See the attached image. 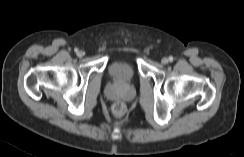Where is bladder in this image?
Wrapping results in <instances>:
<instances>
[{"mask_svg": "<svg viewBox=\"0 0 244 157\" xmlns=\"http://www.w3.org/2000/svg\"><path fill=\"white\" fill-rule=\"evenodd\" d=\"M107 76L114 84L125 86L135 81L137 72L129 61L115 60L108 64Z\"/></svg>", "mask_w": 244, "mask_h": 157, "instance_id": "31cf9c89", "label": "bladder"}]
</instances>
